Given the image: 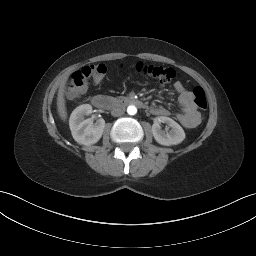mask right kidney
Returning <instances> with one entry per match:
<instances>
[{"label": "right kidney", "instance_id": "ca27d5eb", "mask_svg": "<svg viewBox=\"0 0 256 256\" xmlns=\"http://www.w3.org/2000/svg\"><path fill=\"white\" fill-rule=\"evenodd\" d=\"M92 113V106L83 104L71 113L69 126L74 140L81 145H92L102 137L105 121L98 119L95 123L91 119H84Z\"/></svg>", "mask_w": 256, "mask_h": 256}]
</instances>
